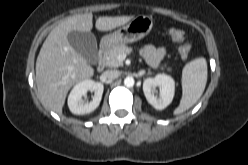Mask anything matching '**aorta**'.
Listing matches in <instances>:
<instances>
[{
	"label": "aorta",
	"mask_w": 248,
	"mask_h": 165,
	"mask_svg": "<svg viewBox=\"0 0 248 165\" xmlns=\"http://www.w3.org/2000/svg\"><path fill=\"white\" fill-rule=\"evenodd\" d=\"M134 83H135L134 78L131 76H128L124 79V85L126 87H133Z\"/></svg>",
	"instance_id": "1"
}]
</instances>
